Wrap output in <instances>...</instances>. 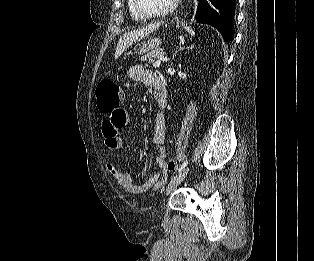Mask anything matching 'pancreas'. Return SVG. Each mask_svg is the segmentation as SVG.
<instances>
[{"instance_id": "obj_1", "label": "pancreas", "mask_w": 314, "mask_h": 261, "mask_svg": "<svg viewBox=\"0 0 314 261\" xmlns=\"http://www.w3.org/2000/svg\"><path fill=\"white\" fill-rule=\"evenodd\" d=\"M164 56V51L161 48H158L156 50L151 51L150 53H147L146 55L141 57V61L144 62L145 67H149L150 64L153 63V58Z\"/></svg>"}]
</instances>
